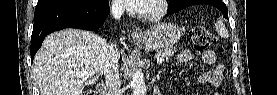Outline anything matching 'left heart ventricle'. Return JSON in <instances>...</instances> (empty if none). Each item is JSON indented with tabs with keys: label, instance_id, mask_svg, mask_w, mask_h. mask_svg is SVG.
Returning <instances> with one entry per match:
<instances>
[{
	"label": "left heart ventricle",
	"instance_id": "left-heart-ventricle-1",
	"mask_svg": "<svg viewBox=\"0 0 277 95\" xmlns=\"http://www.w3.org/2000/svg\"><path fill=\"white\" fill-rule=\"evenodd\" d=\"M158 8V4L155 0H147L141 11H143L144 13H152V12H155Z\"/></svg>",
	"mask_w": 277,
	"mask_h": 95
}]
</instances>
